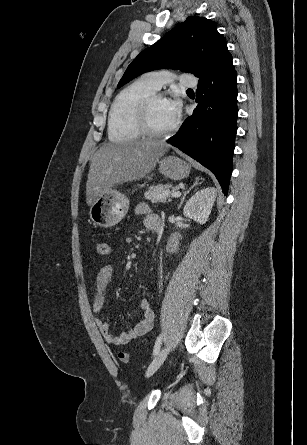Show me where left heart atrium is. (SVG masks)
<instances>
[{
	"instance_id": "1",
	"label": "left heart atrium",
	"mask_w": 307,
	"mask_h": 445,
	"mask_svg": "<svg viewBox=\"0 0 307 445\" xmlns=\"http://www.w3.org/2000/svg\"><path fill=\"white\" fill-rule=\"evenodd\" d=\"M168 115L171 119L175 120L181 113V102L176 96L169 97L164 100Z\"/></svg>"
}]
</instances>
